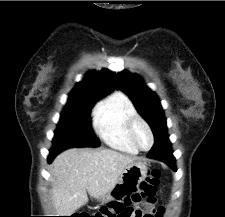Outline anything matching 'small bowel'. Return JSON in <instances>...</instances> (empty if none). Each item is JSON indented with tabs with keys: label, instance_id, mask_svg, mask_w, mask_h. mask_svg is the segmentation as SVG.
Masks as SVG:
<instances>
[{
	"label": "small bowel",
	"instance_id": "obj_1",
	"mask_svg": "<svg viewBox=\"0 0 225 217\" xmlns=\"http://www.w3.org/2000/svg\"><path fill=\"white\" fill-rule=\"evenodd\" d=\"M132 192H126L121 198L130 197ZM116 217H161V212L159 215L155 214L154 200L148 199L145 202H131L127 205L121 204V209L116 214Z\"/></svg>",
	"mask_w": 225,
	"mask_h": 217
}]
</instances>
